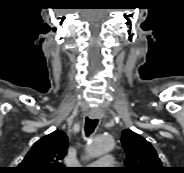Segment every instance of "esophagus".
<instances>
[{"label":"esophagus","mask_w":184,"mask_h":173,"mask_svg":"<svg viewBox=\"0 0 184 173\" xmlns=\"http://www.w3.org/2000/svg\"><path fill=\"white\" fill-rule=\"evenodd\" d=\"M88 116L91 118V119H96V118H100L102 116V113L97 110V109H94V110H91L89 113H88Z\"/></svg>","instance_id":"34e87169"}]
</instances>
